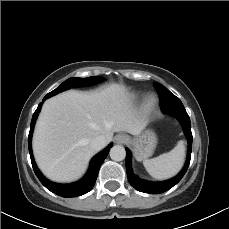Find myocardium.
I'll return each instance as SVG.
<instances>
[{"mask_svg":"<svg viewBox=\"0 0 229 229\" xmlns=\"http://www.w3.org/2000/svg\"><path fill=\"white\" fill-rule=\"evenodd\" d=\"M157 98L150 94L146 97V105L148 108H154L157 105Z\"/></svg>","mask_w":229,"mask_h":229,"instance_id":"1","label":"myocardium"}]
</instances>
